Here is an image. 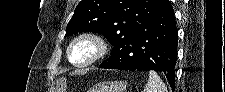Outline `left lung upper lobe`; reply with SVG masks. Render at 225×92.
Here are the masks:
<instances>
[{
  "instance_id": "obj_1",
  "label": "left lung upper lobe",
  "mask_w": 225,
  "mask_h": 92,
  "mask_svg": "<svg viewBox=\"0 0 225 92\" xmlns=\"http://www.w3.org/2000/svg\"><path fill=\"white\" fill-rule=\"evenodd\" d=\"M168 0H82L66 27V35L91 31L114 47L111 55L131 40L137 29Z\"/></svg>"
}]
</instances>
